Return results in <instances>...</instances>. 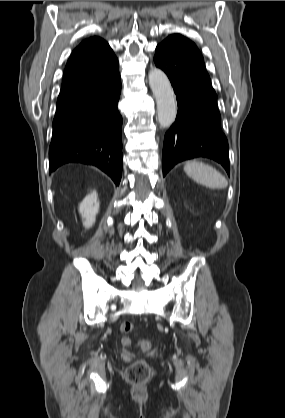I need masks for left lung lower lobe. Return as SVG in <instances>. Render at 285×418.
Wrapping results in <instances>:
<instances>
[{"mask_svg":"<svg viewBox=\"0 0 285 418\" xmlns=\"http://www.w3.org/2000/svg\"><path fill=\"white\" fill-rule=\"evenodd\" d=\"M154 62L177 95L178 113L163 144V176L178 162L207 157L230 172L228 142L221 130L217 95L196 45L176 34L156 47Z\"/></svg>","mask_w":285,"mask_h":418,"instance_id":"1","label":"left lung lower lobe"}]
</instances>
